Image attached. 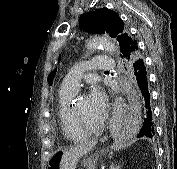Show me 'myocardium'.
Instances as JSON below:
<instances>
[{
	"mask_svg": "<svg viewBox=\"0 0 177 169\" xmlns=\"http://www.w3.org/2000/svg\"><path fill=\"white\" fill-rule=\"evenodd\" d=\"M72 113L78 129L87 135L100 132L104 129L108 121V113L104 112L103 118L100 123L94 125L86 123L78 112L76 104H74V106L72 107Z\"/></svg>",
	"mask_w": 177,
	"mask_h": 169,
	"instance_id": "myocardium-1",
	"label": "myocardium"
}]
</instances>
